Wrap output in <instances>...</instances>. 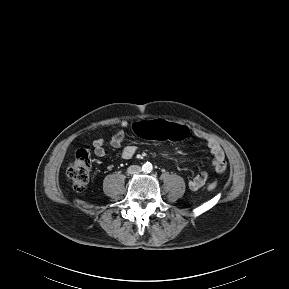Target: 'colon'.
I'll return each mask as SVG.
<instances>
[{"label": "colon", "instance_id": "5ec220e1", "mask_svg": "<svg viewBox=\"0 0 289 289\" xmlns=\"http://www.w3.org/2000/svg\"><path fill=\"white\" fill-rule=\"evenodd\" d=\"M133 132L138 137H149L159 140H182L188 136L184 126L170 123L162 119L138 120L133 125ZM91 162L88 148L79 149L75 159L68 165L66 176L76 192L85 190L90 177ZM217 183L212 181L207 185L208 190H215Z\"/></svg>", "mask_w": 289, "mask_h": 289}]
</instances>
